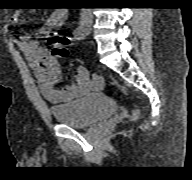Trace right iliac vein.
<instances>
[{
	"mask_svg": "<svg viewBox=\"0 0 192 180\" xmlns=\"http://www.w3.org/2000/svg\"><path fill=\"white\" fill-rule=\"evenodd\" d=\"M90 26H91V24L88 21H83L81 23V27H82L83 31H85V32H89L90 31Z\"/></svg>",
	"mask_w": 192,
	"mask_h": 180,
	"instance_id": "obj_1",
	"label": "right iliac vein"
}]
</instances>
